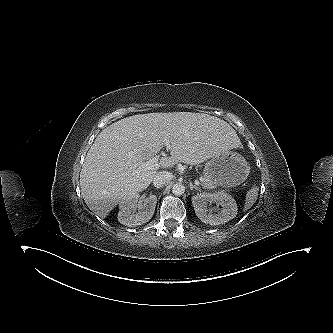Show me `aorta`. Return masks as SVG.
Returning a JSON list of instances; mask_svg holds the SVG:
<instances>
[{
	"mask_svg": "<svg viewBox=\"0 0 333 333\" xmlns=\"http://www.w3.org/2000/svg\"><path fill=\"white\" fill-rule=\"evenodd\" d=\"M184 192H185V186L182 183H175L172 186V193L174 195L180 196L184 194Z\"/></svg>",
	"mask_w": 333,
	"mask_h": 333,
	"instance_id": "762f6f07",
	"label": "aorta"
}]
</instances>
